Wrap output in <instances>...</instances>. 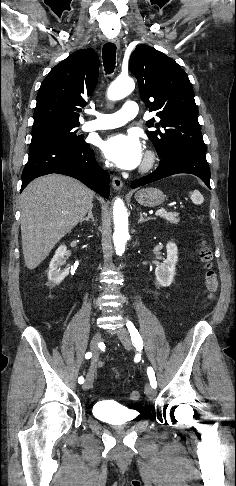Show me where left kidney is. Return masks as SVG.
I'll return each instance as SVG.
<instances>
[{
    "label": "left kidney",
    "instance_id": "left-kidney-1",
    "mask_svg": "<svg viewBox=\"0 0 236 486\" xmlns=\"http://www.w3.org/2000/svg\"><path fill=\"white\" fill-rule=\"evenodd\" d=\"M166 250L167 258L155 269L156 280L163 287L171 285L175 275L176 263L178 261V249L175 243H167Z\"/></svg>",
    "mask_w": 236,
    "mask_h": 486
}]
</instances>
